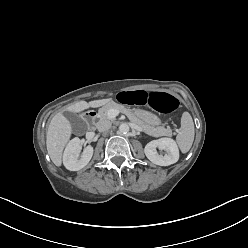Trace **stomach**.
Returning a JSON list of instances; mask_svg holds the SVG:
<instances>
[{"instance_id": "1", "label": "stomach", "mask_w": 248, "mask_h": 248, "mask_svg": "<svg viewBox=\"0 0 248 248\" xmlns=\"http://www.w3.org/2000/svg\"><path fill=\"white\" fill-rule=\"evenodd\" d=\"M135 115L140 120L145 122L146 124H149V125H152V126L160 124L159 118L156 115H154V114H152V113H150L148 111L138 109V110L135 111Z\"/></svg>"}]
</instances>
